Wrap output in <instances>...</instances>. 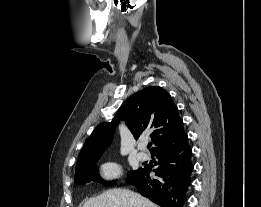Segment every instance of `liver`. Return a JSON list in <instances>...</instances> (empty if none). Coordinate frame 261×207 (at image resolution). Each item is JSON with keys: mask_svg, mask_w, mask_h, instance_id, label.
<instances>
[{"mask_svg": "<svg viewBox=\"0 0 261 207\" xmlns=\"http://www.w3.org/2000/svg\"><path fill=\"white\" fill-rule=\"evenodd\" d=\"M83 207H158L147 198L126 189H109L89 199Z\"/></svg>", "mask_w": 261, "mask_h": 207, "instance_id": "6515ba94", "label": "liver"}]
</instances>
